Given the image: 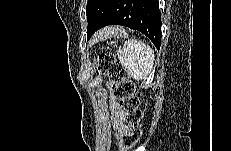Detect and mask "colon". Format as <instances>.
<instances>
[{
  "mask_svg": "<svg viewBox=\"0 0 231 151\" xmlns=\"http://www.w3.org/2000/svg\"><path fill=\"white\" fill-rule=\"evenodd\" d=\"M97 65L98 69L108 75L113 83L114 96L119 101L123 118L127 123V130L120 138L119 149L129 151L141 137L142 112L139 109V100L135 96V84L113 55H100Z\"/></svg>",
  "mask_w": 231,
  "mask_h": 151,
  "instance_id": "obj_1",
  "label": "colon"
}]
</instances>
